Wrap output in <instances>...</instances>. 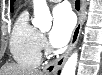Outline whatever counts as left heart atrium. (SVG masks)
Listing matches in <instances>:
<instances>
[{
    "instance_id": "left-heart-atrium-1",
    "label": "left heart atrium",
    "mask_w": 102,
    "mask_h": 75,
    "mask_svg": "<svg viewBox=\"0 0 102 75\" xmlns=\"http://www.w3.org/2000/svg\"><path fill=\"white\" fill-rule=\"evenodd\" d=\"M75 27V17L66 4L58 5L53 11V26L50 42L56 48L64 47L70 40Z\"/></svg>"
}]
</instances>
